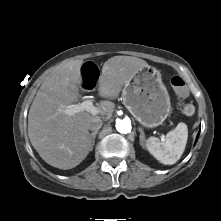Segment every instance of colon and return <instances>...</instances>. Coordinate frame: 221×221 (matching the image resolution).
I'll list each match as a JSON object with an SVG mask.
<instances>
[{"label": "colon", "instance_id": "obj_1", "mask_svg": "<svg viewBox=\"0 0 221 221\" xmlns=\"http://www.w3.org/2000/svg\"><path fill=\"white\" fill-rule=\"evenodd\" d=\"M99 64L95 60H86L77 70V90L81 94H90L96 88V77L99 74ZM170 84L179 96H186L187 87L185 81L180 76H174L170 80ZM181 111L186 116L194 114L195 108L191 103H185L181 107Z\"/></svg>", "mask_w": 221, "mask_h": 221}]
</instances>
